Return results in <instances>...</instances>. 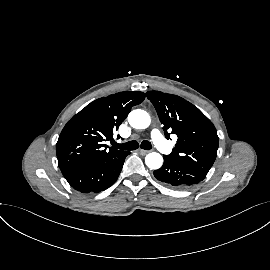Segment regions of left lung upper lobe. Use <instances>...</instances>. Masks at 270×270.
Returning a JSON list of instances; mask_svg holds the SVG:
<instances>
[{"label":"left lung upper lobe","mask_w":270,"mask_h":270,"mask_svg":"<svg viewBox=\"0 0 270 270\" xmlns=\"http://www.w3.org/2000/svg\"><path fill=\"white\" fill-rule=\"evenodd\" d=\"M146 95L164 125L165 137L169 139L170 134L178 136L175 148L167 156L207 174L215 161L219 144L212 122L179 96L160 91H148Z\"/></svg>","instance_id":"1"}]
</instances>
